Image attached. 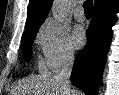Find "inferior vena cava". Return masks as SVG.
<instances>
[{
  "label": "inferior vena cava",
  "instance_id": "obj_1",
  "mask_svg": "<svg viewBox=\"0 0 119 95\" xmlns=\"http://www.w3.org/2000/svg\"><path fill=\"white\" fill-rule=\"evenodd\" d=\"M74 63V53L67 52L62 59V69L57 75V78L63 80L65 84L70 87V76L72 72V67Z\"/></svg>",
  "mask_w": 119,
  "mask_h": 95
}]
</instances>
